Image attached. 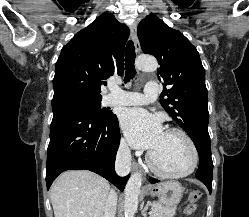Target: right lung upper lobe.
<instances>
[{
	"label": "right lung upper lobe",
	"instance_id": "obj_1",
	"mask_svg": "<svg viewBox=\"0 0 249 217\" xmlns=\"http://www.w3.org/2000/svg\"><path fill=\"white\" fill-rule=\"evenodd\" d=\"M129 33L128 27L111 13L100 15L79 31L62 48L57 60L54 95L76 91L102 98L103 80L124 71V46Z\"/></svg>",
	"mask_w": 249,
	"mask_h": 217
}]
</instances>
